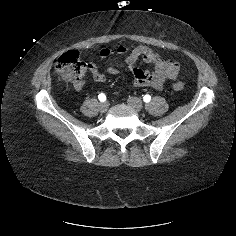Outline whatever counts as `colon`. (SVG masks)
I'll list each match as a JSON object with an SVG mask.
<instances>
[{"instance_id":"colon-1","label":"colon","mask_w":236,"mask_h":236,"mask_svg":"<svg viewBox=\"0 0 236 236\" xmlns=\"http://www.w3.org/2000/svg\"><path fill=\"white\" fill-rule=\"evenodd\" d=\"M55 70L57 74L65 81L75 87H79L83 83V77L87 70V64L81 60L77 51L71 50L61 55L56 63ZM185 84L176 82L173 85L174 90H182Z\"/></svg>"}]
</instances>
